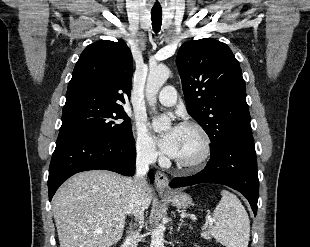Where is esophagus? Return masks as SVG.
<instances>
[{
  "label": "esophagus",
  "instance_id": "34e87169",
  "mask_svg": "<svg viewBox=\"0 0 310 247\" xmlns=\"http://www.w3.org/2000/svg\"><path fill=\"white\" fill-rule=\"evenodd\" d=\"M168 178L167 176L161 172L157 171L155 174V183L157 191L160 193L166 192L168 190Z\"/></svg>",
  "mask_w": 310,
  "mask_h": 247
}]
</instances>
